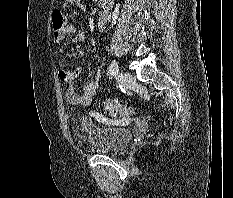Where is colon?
Masks as SVG:
<instances>
[{"label":"colon","mask_w":233,"mask_h":198,"mask_svg":"<svg viewBox=\"0 0 233 198\" xmlns=\"http://www.w3.org/2000/svg\"><path fill=\"white\" fill-rule=\"evenodd\" d=\"M51 18L54 32H59L65 27L66 19L59 9L53 10ZM100 105L107 114L122 119L135 112V108L132 106L116 100L104 99Z\"/></svg>","instance_id":"1"}]
</instances>
